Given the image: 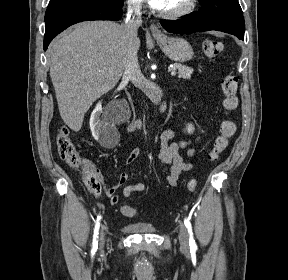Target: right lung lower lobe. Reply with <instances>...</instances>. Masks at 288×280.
Masks as SVG:
<instances>
[{
	"label": "right lung lower lobe",
	"mask_w": 288,
	"mask_h": 280,
	"mask_svg": "<svg viewBox=\"0 0 288 280\" xmlns=\"http://www.w3.org/2000/svg\"><path fill=\"white\" fill-rule=\"evenodd\" d=\"M122 6L105 0H59L48 4L45 14L44 50L52 39L72 24L86 20H119Z\"/></svg>",
	"instance_id": "1"
}]
</instances>
